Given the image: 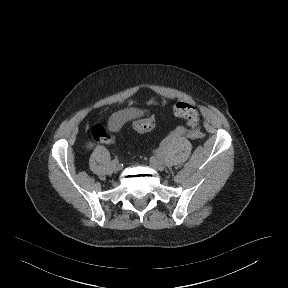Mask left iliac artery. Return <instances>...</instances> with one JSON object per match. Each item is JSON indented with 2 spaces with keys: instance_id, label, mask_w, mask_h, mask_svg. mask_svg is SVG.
Masks as SVG:
<instances>
[{
  "instance_id": "obj_1",
  "label": "left iliac artery",
  "mask_w": 288,
  "mask_h": 288,
  "mask_svg": "<svg viewBox=\"0 0 288 288\" xmlns=\"http://www.w3.org/2000/svg\"><path fill=\"white\" fill-rule=\"evenodd\" d=\"M156 156H157V157H161V153H160V152H157V153H156Z\"/></svg>"
}]
</instances>
